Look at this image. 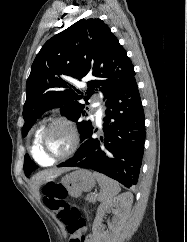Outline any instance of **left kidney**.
Segmentation results:
<instances>
[{"label": "left kidney", "instance_id": "1", "mask_svg": "<svg viewBox=\"0 0 187 242\" xmlns=\"http://www.w3.org/2000/svg\"><path fill=\"white\" fill-rule=\"evenodd\" d=\"M132 203L133 195L123 193L100 204L92 227L95 242H116L129 215ZM110 212L114 214V217L112 222L108 223L109 230L105 231L102 221L106 213Z\"/></svg>", "mask_w": 187, "mask_h": 242}]
</instances>
